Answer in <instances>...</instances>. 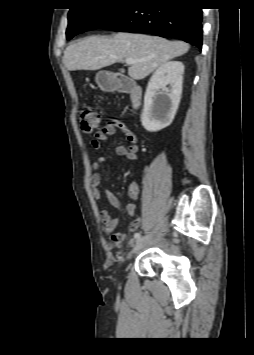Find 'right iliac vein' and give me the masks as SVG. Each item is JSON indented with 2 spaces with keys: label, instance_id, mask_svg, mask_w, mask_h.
I'll return each instance as SVG.
<instances>
[{
  "label": "right iliac vein",
  "instance_id": "63e3f726",
  "mask_svg": "<svg viewBox=\"0 0 254 355\" xmlns=\"http://www.w3.org/2000/svg\"><path fill=\"white\" fill-rule=\"evenodd\" d=\"M151 239V235H147L144 238L136 240L132 250L129 252L127 258L130 259L136 252H138L141 247Z\"/></svg>",
  "mask_w": 254,
  "mask_h": 355
}]
</instances>
